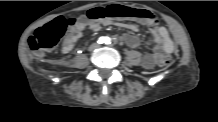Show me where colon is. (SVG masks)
<instances>
[{"label":"colon","instance_id":"1","mask_svg":"<svg viewBox=\"0 0 218 122\" xmlns=\"http://www.w3.org/2000/svg\"><path fill=\"white\" fill-rule=\"evenodd\" d=\"M88 17L93 20H100L103 18L132 17L144 20L150 26H155L158 22L156 16L147 10L127 8L121 5H111L106 9H94L89 12ZM75 22L76 21L74 19L66 20L60 17L39 28L32 38L33 48L39 51L52 50L66 29L69 26H73ZM173 60V55L160 57V60H157V67L163 68L165 65L169 66Z\"/></svg>","mask_w":218,"mask_h":122}]
</instances>
